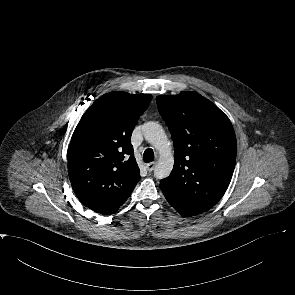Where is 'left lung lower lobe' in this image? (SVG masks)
<instances>
[{"mask_svg":"<svg viewBox=\"0 0 295 295\" xmlns=\"http://www.w3.org/2000/svg\"><path fill=\"white\" fill-rule=\"evenodd\" d=\"M163 194L165 195L167 201L169 202V204L174 207L181 215L183 216H187L184 212H182L181 210L178 209V207L176 206L175 200L173 198H171L167 193H165L163 191Z\"/></svg>","mask_w":295,"mask_h":295,"instance_id":"1","label":"left lung lower lobe"}]
</instances>
